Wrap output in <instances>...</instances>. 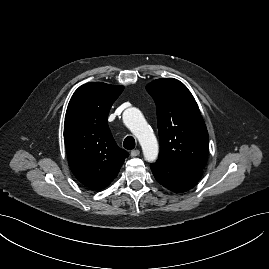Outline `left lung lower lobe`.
<instances>
[{"mask_svg": "<svg viewBox=\"0 0 269 269\" xmlns=\"http://www.w3.org/2000/svg\"><path fill=\"white\" fill-rule=\"evenodd\" d=\"M150 167L157 182L177 193L193 188L203 173L200 168L162 160H157Z\"/></svg>", "mask_w": 269, "mask_h": 269, "instance_id": "0a47b994", "label": "left lung lower lobe"}]
</instances>
